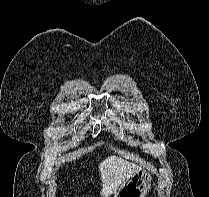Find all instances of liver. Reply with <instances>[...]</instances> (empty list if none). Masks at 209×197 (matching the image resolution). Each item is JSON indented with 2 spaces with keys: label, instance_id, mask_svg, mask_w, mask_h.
<instances>
[{
  "label": "liver",
  "instance_id": "obj_1",
  "mask_svg": "<svg viewBox=\"0 0 209 197\" xmlns=\"http://www.w3.org/2000/svg\"><path fill=\"white\" fill-rule=\"evenodd\" d=\"M100 179L102 181L101 196L108 197L115 192L123 182L141 167L118 156H108L99 163Z\"/></svg>",
  "mask_w": 209,
  "mask_h": 197
}]
</instances>
